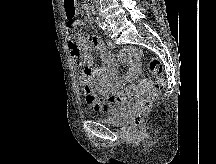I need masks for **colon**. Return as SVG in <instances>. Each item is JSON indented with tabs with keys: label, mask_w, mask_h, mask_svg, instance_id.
Instances as JSON below:
<instances>
[{
	"label": "colon",
	"mask_w": 216,
	"mask_h": 164,
	"mask_svg": "<svg viewBox=\"0 0 216 164\" xmlns=\"http://www.w3.org/2000/svg\"><path fill=\"white\" fill-rule=\"evenodd\" d=\"M163 72L162 62L158 58H152L149 63L150 75L128 85L116 95L115 101L119 104L139 99L138 112L133 119L134 124L140 125L144 121L153 101L159 97L164 89Z\"/></svg>",
	"instance_id": "colon-1"
}]
</instances>
